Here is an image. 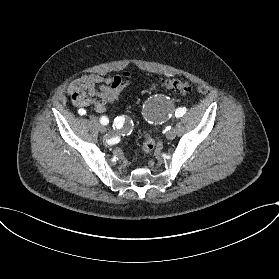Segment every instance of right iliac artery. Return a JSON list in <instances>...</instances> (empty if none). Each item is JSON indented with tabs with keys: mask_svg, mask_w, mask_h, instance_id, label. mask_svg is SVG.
<instances>
[{
	"mask_svg": "<svg viewBox=\"0 0 279 279\" xmlns=\"http://www.w3.org/2000/svg\"><path fill=\"white\" fill-rule=\"evenodd\" d=\"M79 113H80L81 116H84V115L87 114L86 111H85L84 109H79ZM100 123H101L102 125H107V124L109 123V120H108L107 117L102 116V117L100 118ZM113 126H114V128L117 129V130H122V129H124L125 126H126V121H125V119L122 118V117H117V118H115L114 121H113Z\"/></svg>",
	"mask_w": 279,
	"mask_h": 279,
	"instance_id": "82829eb1",
	"label": "right iliac artery"
}]
</instances>
